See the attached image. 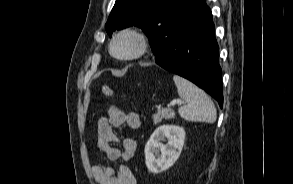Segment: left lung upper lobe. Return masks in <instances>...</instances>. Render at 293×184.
Masks as SVG:
<instances>
[{"mask_svg": "<svg viewBox=\"0 0 293 184\" xmlns=\"http://www.w3.org/2000/svg\"><path fill=\"white\" fill-rule=\"evenodd\" d=\"M183 0H116L108 17L105 30L111 37L115 30L136 25L148 36L157 55L170 28L173 10Z\"/></svg>", "mask_w": 293, "mask_h": 184, "instance_id": "left-lung-upper-lobe-1", "label": "left lung upper lobe"}]
</instances>
